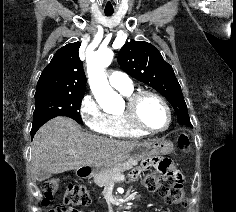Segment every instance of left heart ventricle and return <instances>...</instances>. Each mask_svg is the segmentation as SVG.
I'll use <instances>...</instances> for the list:
<instances>
[{
  "label": "left heart ventricle",
  "mask_w": 236,
  "mask_h": 212,
  "mask_svg": "<svg viewBox=\"0 0 236 212\" xmlns=\"http://www.w3.org/2000/svg\"><path fill=\"white\" fill-rule=\"evenodd\" d=\"M142 123L151 129H161L168 122V115L164 106L152 97H146L140 107Z\"/></svg>",
  "instance_id": "b2bd125f"
}]
</instances>
